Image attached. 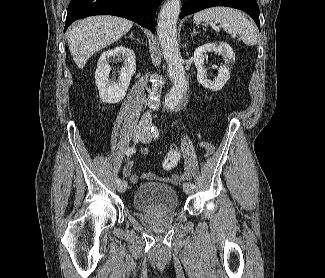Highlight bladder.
Segmentation results:
<instances>
[{
  "label": "bladder",
  "instance_id": "31cf9c89",
  "mask_svg": "<svg viewBox=\"0 0 325 278\" xmlns=\"http://www.w3.org/2000/svg\"><path fill=\"white\" fill-rule=\"evenodd\" d=\"M133 206L147 213L173 212L179 207V198L174 187L160 182H147L137 186Z\"/></svg>",
  "mask_w": 325,
  "mask_h": 278
}]
</instances>
